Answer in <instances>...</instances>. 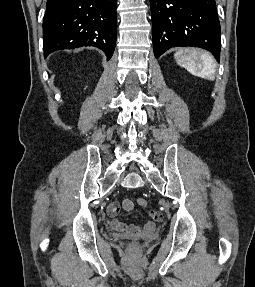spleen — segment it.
Wrapping results in <instances>:
<instances>
[{
    "instance_id": "obj_1",
    "label": "spleen",
    "mask_w": 255,
    "mask_h": 287,
    "mask_svg": "<svg viewBox=\"0 0 255 287\" xmlns=\"http://www.w3.org/2000/svg\"><path fill=\"white\" fill-rule=\"evenodd\" d=\"M183 54H188L189 58L184 60ZM174 56L178 64H181L194 76H199L204 80H215L216 64L214 58L208 52H204V50H187V52H176Z\"/></svg>"
}]
</instances>
